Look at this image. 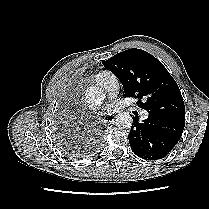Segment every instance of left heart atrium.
Listing matches in <instances>:
<instances>
[{
  "mask_svg": "<svg viewBox=\"0 0 209 209\" xmlns=\"http://www.w3.org/2000/svg\"><path fill=\"white\" fill-rule=\"evenodd\" d=\"M113 108H114V106H110V107L108 108V111H111Z\"/></svg>",
  "mask_w": 209,
  "mask_h": 209,
  "instance_id": "obj_1",
  "label": "left heart atrium"
}]
</instances>
